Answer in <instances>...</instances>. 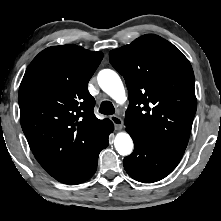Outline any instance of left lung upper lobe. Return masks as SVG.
Listing matches in <instances>:
<instances>
[{
    "label": "left lung upper lobe",
    "instance_id": "left-lung-upper-lobe-1",
    "mask_svg": "<svg viewBox=\"0 0 221 221\" xmlns=\"http://www.w3.org/2000/svg\"><path fill=\"white\" fill-rule=\"evenodd\" d=\"M109 55L128 88L125 125L153 143L185 150L197 107L188 59L154 34L113 49Z\"/></svg>",
    "mask_w": 221,
    "mask_h": 221
}]
</instances>
